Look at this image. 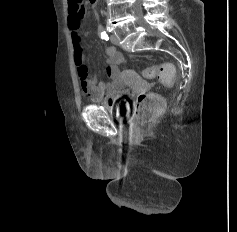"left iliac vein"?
<instances>
[{
	"instance_id": "4c4485c4",
	"label": "left iliac vein",
	"mask_w": 237,
	"mask_h": 232,
	"mask_svg": "<svg viewBox=\"0 0 237 232\" xmlns=\"http://www.w3.org/2000/svg\"><path fill=\"white\" fill-rule=\"evenodd\" d=\"M110 40H111V42H112L114 45H118V44H119L118 38H117L114 34H112V35L110 36Z\"/></svg>"
}]
</instances>
